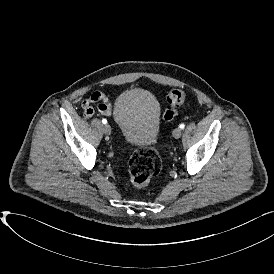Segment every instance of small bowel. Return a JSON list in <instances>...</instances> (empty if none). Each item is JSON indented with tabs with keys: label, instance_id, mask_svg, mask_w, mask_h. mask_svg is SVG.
<instances>
[{
	"label": "small bowel",
	"instance_id": "c3829d8e",
	"mask_svg": "<svg viewBox=\"0 0 274 274\" xmlns=\"http://www.w3.org/2000/svg\"><path fill=\"white\" fill-rule=\"evenodd\" d=\"M98 103L97 109L104 115H110L112 112V104L108 98L100 91H94L91 95L82 101L81 107L85 118H90L94 114L93 104Z\"/></svg>",
	"mask_w": 274,
	"mask_h": 274
}]
</instances>
